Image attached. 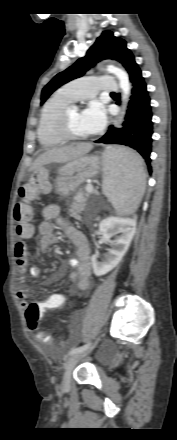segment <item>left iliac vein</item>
<instances>
[{
  "label": "left iliac vein",
  "instance_id": "obj_1",
  "mask_svg": "<svg viewBox=\"0 0 177 440\" xmlns=\"http://www.w3.org/2000/svg\"><path fill=\"white\" fill-rule=\"evenodd\" d=\"M98 340H99V338L96 340L94 345H92L88 349H86V350H84L82 352H79V353H75V354L71 355L66 360V362H65V371H64L63 380H62V389L63 390H68L70 388L71 372H72L73 368L79 362L80 359H82L90 351H92V349L95 347V345L98 342Z\"/></svg>",
  "mask_w": 177,
  "mask_h": 440
}]
</instances>
